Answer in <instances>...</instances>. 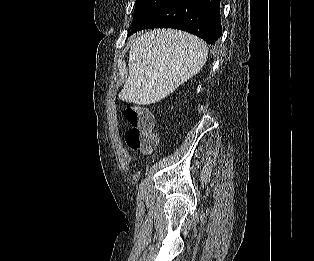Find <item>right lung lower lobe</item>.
Returning <instances> with one entry per match:
<instances>
[{
	"instance_id": "right-lung-lower-lobe-1",
	"label": "right lung lower lobe",
	"mask_w": 314,
	"mask_h": 261,
	"mask_svg": "<svg viewBox=\"0 0 314 261\" xmlns=\"http://www.w3.org/2000/svg\"><path fill=\"white\" fill-rule=\"evenodd\" d=\"M148 28H174L192 33L208 44L222 34L220 0H170L131 33Z\"/></svg>"
}]
</instances>
